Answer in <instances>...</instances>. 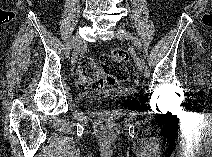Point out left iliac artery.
Listing matches in <instances>:
<instances>
[{"label":"left iliac artery","mask_w":212,"mask_h":157,"mask_svg":"<svg viewBox=\"0 0 212 157\" xmlns=\"http://www.w3.org/2000/svg\"><path fill=\"white\" fill-rule=\"evenodd\" d=\"M134 45L141 51V43L137 38H133L132 39ZM143 62V66H144V70H145V76L149 77L150 76V69L148 68V66L145 64L144 60H142Z\"/></svg>","instance_id":"1"}]
</instances>
